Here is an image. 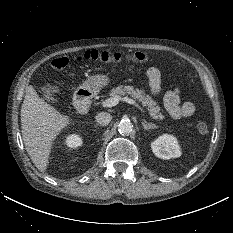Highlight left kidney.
Segmentation results:
<instances>
[{"label":"left kidney","mask_w":233,"mask_h":233,"mask_svg":"<svg viewBox=\"0 0 233 233\" xmlns=\"http://www.w3.org/2000/svg\"><path fill=\"white\" fill-rule=\"evenodd\" d=\"M155 156L161 159H171L181 156L180 146L177 139L168 134L159 136L151 143Z\"/></svg>","instance_id":"obj_1"}]
</instances>
